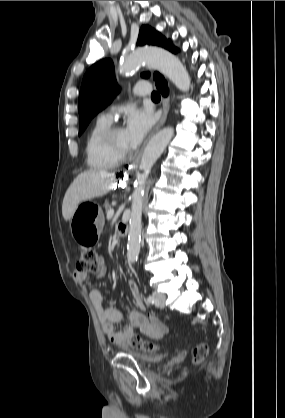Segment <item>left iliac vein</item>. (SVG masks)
<instances>
[{
  "mask_svg": "<svg viewBox=\"0 0 285 418\" xmlns=\"http://www.w3.org/2000/svg\"><path fill=\"white\" fill-rule=\"evenodd\" d=\"M152 297H154V299H155V304H156V306H158V307H160V308H162V307H164V306H165V300H166L165 295H163V294H162V293H160V292H154V293L152 294Z\"/></svg>",
  "mask_w": 285,
  "mask_h": 418,
  "instance_id": "left-iliac-vein-1",
  "label": "left iliac vein"
}]
</instances>
